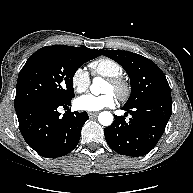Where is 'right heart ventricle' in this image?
I'll use <instances>...</instances> for the list:
<instances>
[{
	"label": "right heart ventricle",
	"mask_w": 193,
	"mask_h": 193,
	"mask_svg": "<svg viewBox=\"0 0 193 193\" xmlns=\"http://www.w3.org/2000/svg\"><path fill=\"white\" fill-rule=\"evenodd\" d=\"M93 75L103 77L122 76L123 66L114 59L103 57L92 61L89 64Z\"/></svg>",
	"instance_id": "right-heart-ventricle-1"
}]
</instances>
